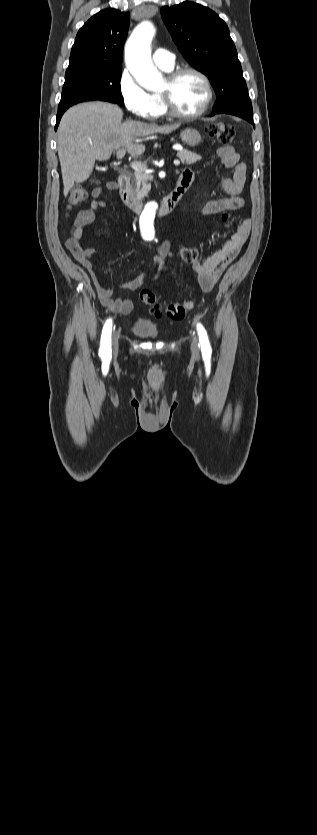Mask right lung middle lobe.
Segmentation results:
<instances>
[{"label": "right lung middle lobe", "instance_id": "right-lung-middle-lobe-1", "mask_svg": "<svg viewBox=\"0 0 317 835\" xmlns=\"http://www.w3.org/2000/svg\"><path fill=\"white\" fill-rule=\"evenodd\" d=\"M118 66L77 65L68 67L58 110L92 100L110 99L124 105Z\"/></svg>", "mask_w": 317, "mask_h": 835}]
</instances>
